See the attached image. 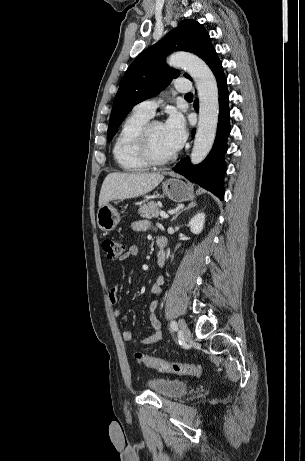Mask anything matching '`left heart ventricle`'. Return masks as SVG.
<instances>
[{
	"mask_svg": "<svg viewBox=\"0 0 305 461\" xmlns=\"http://www.w3.org/2000/svg\"><path fill=\"white\" fill-rule=\"evenodd\" d=\"M150 145L152 153L158 158H163L174 153L165 139L163 125H157L152 129Z\"/></svg>",
	"mask_w": 305,
	"mask_h": 461,
	"instance_id": "b2bd125f",
	"label": "left heart ventricle"
}]
</instances>
